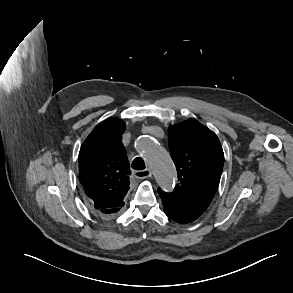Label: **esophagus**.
I'll return each instance as SVG.
<instances>
[{"label": "esophagus", "mask_w": 293, "mask_h": 293, "mask_svg": "<svg viewBox=\"0 0 293 293\" xmlns=\"http://www.w3.org/2000/svg\"><path fill=\"white\" fill-rule=\"evenodd\" d=\"M151 171L150 169H144V170H138L135 172V176L139 179H146L151 177Z\"/></svg>", "instance_id": "esophagus-1"}]
</instances>
